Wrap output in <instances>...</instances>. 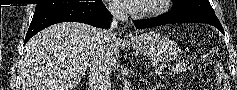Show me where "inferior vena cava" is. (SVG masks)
Segmentation results:
<instances>
[{"label":"inferior vena cava","mask_w":237,"mask_h":90,"mask_svg":"<svg viewBox=\"0 0 237 90\" xmlns=\"http://www.w3.org/2000/svg\"><path fill=\"white\" fill-rule=\"evenodd\" d=\"M107 10L112 16L109 28L101 30L97 54L86 64L89 72V90H111L110 74L115 68L112 60L116 62L115 52L119 50L116 30L120 20H126L127 14L124 6L119 4H110Z\"/></svg>","instance_id":"1"}]
</instances>
